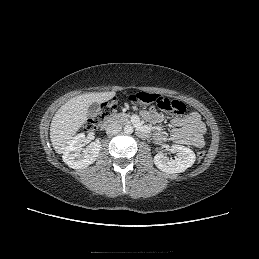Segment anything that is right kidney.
<instances>
[{
	"instance_id": "1",
	"label": "right kidney",
	"mask_w": 259,
	"mask_h": 259,
	"mask_svg": "<svg viewBox=\"0 0 259 259\" xmlns=\"http://www.w3.org/2000/svg\"><path fill=\"white\" fill-rule=\"evenodd\" d=\"M85 142L86 138L84 133L76 135L68 142L63 152V161L69 167L73 169H83L97 159L101 149V143L94 141L84 150Z\"/></svg>"
}]
</instances>
